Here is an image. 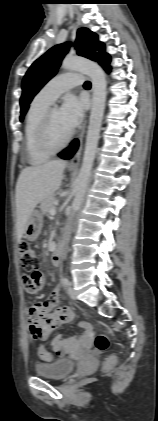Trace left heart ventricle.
<instances>
[{
	"instance_id": "obj_1",
	"label": "left heart ventricle",
	"mask_w": 158,
	"mask_h": 421,
	"mask_svg": "<svg viewBox=\"0 0 158 421\" xmlns=\"http://www.w3.org/2000/svg\"><path fill=\"white\" fill-rule=\"evenodd\" d=\"M51 132L55 142H62L70 131L63 124L60 116V110L52 109L51 111Z\"/></svg>"
}]
</instances>
